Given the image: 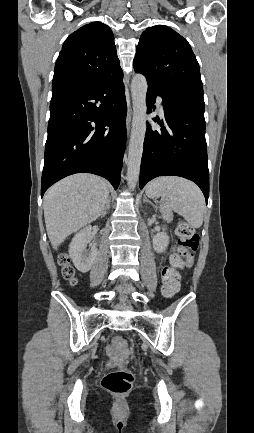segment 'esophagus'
Returning <instances> with one entry per match:
<instances>
[{"instance_id": "esophagus-1", "label": "esophagus", "mask_w": 254, "mask_h": 433, "mask_svg": "<svg viewBox=\"0 0 254 433\" xmlns=\"http://www.w3.org/2000/svg\"><path fill=\"white\" fill-rule=\"evenodd\" d=\"M130 120H131V116H128V122H130Z\"/></svg>"}]
</instances>
